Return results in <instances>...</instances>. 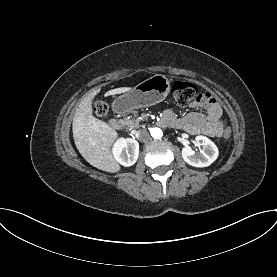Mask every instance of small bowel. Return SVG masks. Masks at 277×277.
<instances>
[{"label": "small bowel", "instance_id": "small-bowel-1", "mask_svg": "<svg viewBox=\"0 0 277 277\" xmlns=\"http://www.w3.org/2000/svg\"><path fill=\"white\" fill-rule=\"evenodd\" d=\"M191 106L204 108L206 112H191L183 117H176L171 111H166L162 122L193 135L223 137V130L226 128L222 119L223 110L211 94L204 93L200 100L193 102Z\"/></svg>", "mask_w": 277, "mask_h": 277}]
</instances>
